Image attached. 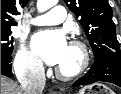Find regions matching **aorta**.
I'll list each match as a JSON object with an SVG mask.
<instances>
[{"instance_id": "762f6f07", "label": "aorta", "mask_w": 121, "mask_h": 94, "mask_svg": "<svg viewBox=\"0 0 121 94\" xmlns=\"http://www.w3.org/2000/svg\"><path fill=\"white\" fill-rule=\"evenodd\" d=\"M58 0H37V9L39 12H44L54 5H56Z\"/></svg>"}]
</instances>
